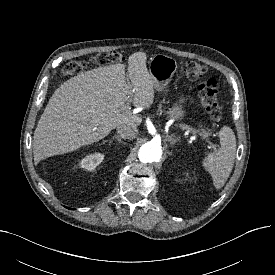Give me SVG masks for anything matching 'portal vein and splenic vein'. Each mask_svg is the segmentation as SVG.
<instances>
[{"mask_svg":"<svg viewBox=\"0 0 275 275\" xmlns=\"http://www.w3.org/2000/svg\"><path fill=\"white\" fill-rule=\"evenodd\" d=\"M130 102H131V99H128V101H127V103L123 106V109L124 110H128V109H131V107H130ZM185 129L186 130H188V131H190V128L187 126V127H185ZM208 143L212 146V147H216V144H214V143H212V142H210V141H208Z\"/></svg>","mask_w":275,"mask_h":275,"instance_id":"18ae733b","label":"portal vein and splenic vein"}]
</instances>
